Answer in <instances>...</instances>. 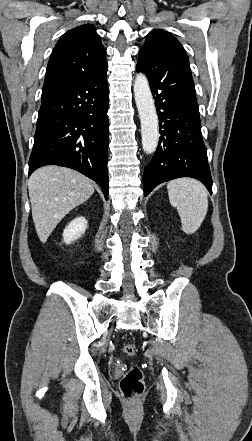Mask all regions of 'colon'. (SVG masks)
Here are the masks:
<instances>
[{"label":"colon","mask_w":252,"mask_h":441,"mask_svg":"<svg viewBox=\"0 0 252 441\" xmlns=\"http://www.w3.org/2000/svg\"><path fill=\"white\" fill-rule=\"evenodd\" d=\"M123 352L126 356L132 357L136 354V348L133 344H125ZM120 390L125 400L135 401L141 397L144 392L143 375L137 365H132L125 373L120 382Z\"/></svg>","instance_id":"colon-1"}]
</instances>
